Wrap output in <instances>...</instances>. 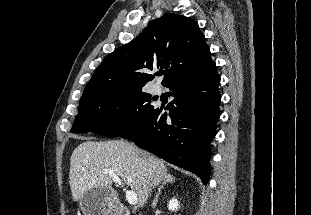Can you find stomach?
Segmentation results:
<instances>
[{
  "label": "stomach",
  "instance_id": "1",
  "mask_svg": "<svg viewBox=\"0 0 311 215\" xmlns=\"http://www.w3.org/2000/svg\"><path fill=\"white\" fill-rule=\"evenodd\" d=\"M84 215H115L117 202L110 188H91L79 201Z\"/></svg>",
  "mask_w": 311,
  "mask_h": 215
}]
</instances>
